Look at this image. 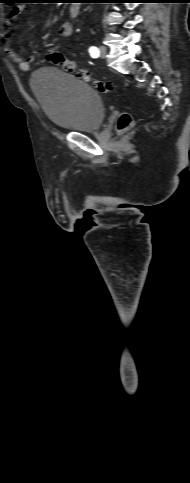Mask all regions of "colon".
<instances>
[{
	"mask_svg": "<svg viewBox=\"0 0 190 483\" xmlns=\"http://www.w3.org/2000/svg\"><path fill=\"white\" fill-rule=\"evenodd\" d=\"M46 59L51 64L59 66L63 71L68 73H76L77 76L84 82L91 83L100 93L108 94L112 90V84L100 80H95L91 74L79 69L77 64L67 59L59 50H51L46 54ZM134 125L133 117L130 113L124 112L118 119L117 129L120 132L129 130Z\"/></svg>",
	"mask_w": 190,
	"mask_h": 483,
	"instance_id": "5ec220e1",
	"label": "colon"
}]
</instances>
